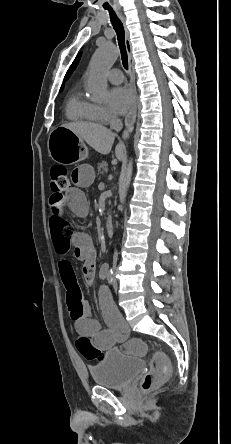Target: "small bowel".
Returning <instances> with one entry per match:
<instances>
[{
	"instance_id": "obj_1",
	"label": "small bowel",
	"mask_w": 231,
	"mask_h": 444,
	"mask_svg": "<svg viewBox=\"0 0 231 444\" xmlns=\"http://www.w3.org/2000/svg\"><path fill=\"white\" fill-rule=\"evenodd\" d=\"M94 179L95 172L89 164H80L72 170L69 175L71 187L68 193L60 198L50 197L49 230L54 248L60 256L59 272L66 289V301L75 329L81 336L89 338L99 350H108L127 339L129 327L116 310L107 289L101 288L99 300L108 324L106 329L101 328L100 323L91 315L89 303L82 298L74 269L66 257L72 250L73 257L83 263V273L91 285L96 260L92 240L87 233L75 231L65 220L64 212L68 207L78 216L87 215L88 202L81 189L90 186ZM102 272H106V268L101 270L100 275Z\"/></svg>"
}]
</instances>
